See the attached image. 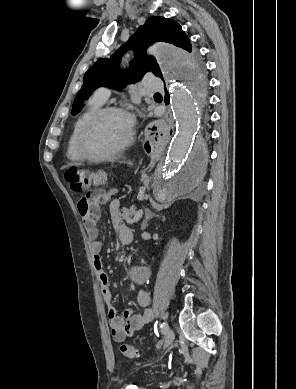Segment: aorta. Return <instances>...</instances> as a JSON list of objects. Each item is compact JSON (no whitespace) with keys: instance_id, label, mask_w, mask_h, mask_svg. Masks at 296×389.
I'll return each mask as SVG.
<instances>
[{"instance_id":"obj_1","label":"aorta","mask_w":296,"mask_h":389,"mask_svg":"<svg viewBox=\"0 0 296 389\" xmlns=\"http://www.w3.org/2000/svg\"><path fill=\"white\" fill-rule=\"evenodd\" d=\"M157 65L171 90V109L176 121V133L166 161L153 186V198L165 202L201 186L202 167H207L209 146L202 134L207 90L204 67H191V56L175 46L157 45ZM146 268L132 270L133 279L140 282L148 277Z\"/></svg>"}]
</instances>
